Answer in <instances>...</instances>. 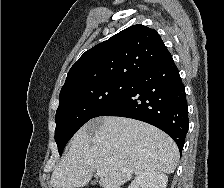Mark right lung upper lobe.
Instances as JSON below:
<instances>
[{"label":"right lung upper lobe","mask_w":224,"mask_h":188,"mask_svg":"<svg viewBox=\"0 0 224 188\" xmlns=\"http://www.w3.org/2000/svg\"><path fill=\"white\" fill-rule=\"evenodd\" d=\"M170 56L156 30L133 25L87 50L69 70L61 91L106 80H131Z\"/></svg>","instance_id":"cb5924a9"}]
</instances>
